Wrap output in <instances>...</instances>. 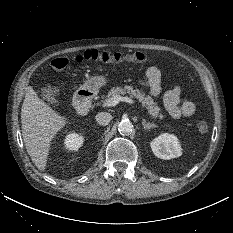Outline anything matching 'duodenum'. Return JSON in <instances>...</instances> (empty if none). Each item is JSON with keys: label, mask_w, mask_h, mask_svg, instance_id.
<instances>
[{"label": "duodenum", "mask_w": 233, "mask_h": 233, "mask_svg": "<svg viewBox=\"0 0 233 233\" xmlns=\"http://www.w3.org/2000/svg\"><path fill=\"white\" fill-rule=\"evenodd\" d=\"M94 95L90 90H80L74 98V106L81 114H87L92 107Z\"/></svg>", "instance_id": "1"}]
</instances>
